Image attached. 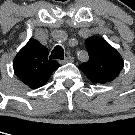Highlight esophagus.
Instances as JSON below:
<instances>
[{"label":"esophagus","mask_w":135,"mask_h":135,"mask_svg":"<svg viewBox=\"0 0 135 135\" xmlns=\"http://www.w3.org/2000/svg\"><path fill=\"white\" fill-rule=\"evenodd\" d=\"M72 61H73V57L67 56L64 60H61L60 63L64 64V63H68V62H72Z\"/></svg>","instance_id":"obj_1"}]
</instances>
